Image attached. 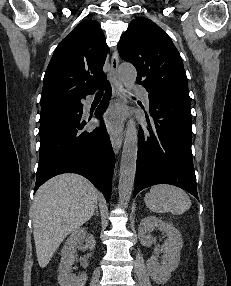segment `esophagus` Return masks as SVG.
I'll return each instance as SVG.
<instances>
[{
	"instance_id": "1",
	"label": "esophagus",
	"mask_w": 231,
	"mask_h": 286,
	"mask_svg": "<svg viewBox=\"0 0 231 286\" xmlns=\"http://www.w3.org/2000/svg\"><path fill=\"white\" fill-rule=\"evenodd\" d=\"M118 65H119V57L117 51L115 50L111 58V83L116 101L123 102L124 95H123L121 80L118 75ZM122 141H123L122 133L111 135V144L115 154L119 153L122 146Z\"/></svg>"
}]
</instances>
